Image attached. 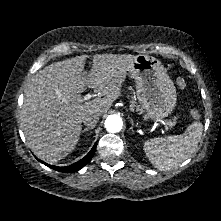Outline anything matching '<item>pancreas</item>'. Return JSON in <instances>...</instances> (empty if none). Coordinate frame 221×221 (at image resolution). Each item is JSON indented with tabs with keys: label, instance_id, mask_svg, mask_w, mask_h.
<instances>
[{
	"label": "pancreas",
	"instance_id": "1",
	"mask_svg": "<svg viewBox=\"0 0 221 221\" xmlns=\"http://www.w3.org/2000/svg\"><path fill=\"white\" fill-rule=\"evenodd\" d=\"M138 108V111H140V112H142V109H139V106H137ZM169 124L171 125V126H173V125H175V122H169Z\"/></svg>",
	"mask_w": 221,
	"mask_h": 221
}]
</instances>
